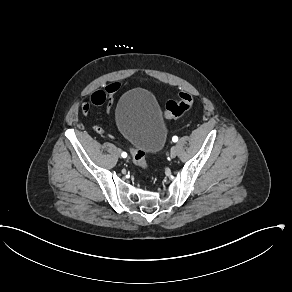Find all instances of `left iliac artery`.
<instances>
[{"label":"left iliac artery","mask_w":292,"mask_h":292,"mask_svg":"<svg viewBox=\"0 0 292 292\" xmlns=\"http://www.w3.org/2000/svg\"><path fill=\"white\" fill-rule=\"evenodd\" d=\"M172 141L173 142H177L178 141V137L177 136H173Z\"/></svg>","instance_id":"left-iliac-artery-1"}]
</instances>
